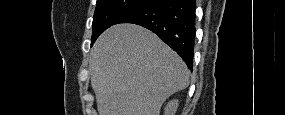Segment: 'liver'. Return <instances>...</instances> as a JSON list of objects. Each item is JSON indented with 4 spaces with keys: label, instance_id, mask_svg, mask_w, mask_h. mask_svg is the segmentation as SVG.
I'll list each match as a JSON object with an SVG mask.
<instances>
[{
    "label": "liver",
    "instance_id": "liver-1",
    "mask_svg": "<svg viewBox=\"0 0 285 115\" xmlns=\"http://www.w3.org/2000/svg\"><path fill=\"white\" fill-rule=\"evenodd\" d=\"M91 86L99 115H159L189 85L184 61L151 31L134 24L107 29L91 49Z\"/></svg>",
    "mask_w": 285,
    "mask_h": 115
}]
</instances>
